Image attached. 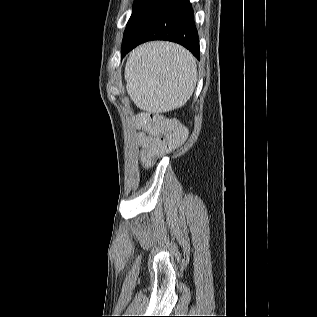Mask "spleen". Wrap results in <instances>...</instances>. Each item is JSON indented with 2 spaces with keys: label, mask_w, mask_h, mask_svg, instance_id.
Listing matches in <instances>:
<instances>
[{
  "label": "spleen",
  "mask_w": 317,
  "mask_h": 317,
  "mask_svg": "<svg viewBox=\"0 0 317 317\" xmlns=\"http://www.w3.org/2000/svg\"><path fill=\"white\" fill-rule=\"evenodd\" d=\"M128 95L137 107L166 112L183 106L197 82L196 62L185 48L151 42L130 54L125 67Z\"/></svg>",
  "instance_id": "obj_1"
}]
</instances>
